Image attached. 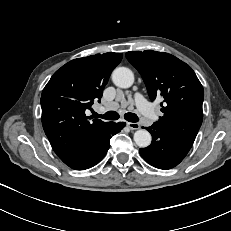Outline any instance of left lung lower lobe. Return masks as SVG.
I'll return each mask as SVG.
<instances>
[{"label": "left lung lower lobe", "mask_w": 231, "mask_h": 231, "mask_svg": "<svg viewBox=\"0 0 231 231\" xmlns=\"http://www.w3.org/2000/svg\"><path fill=\"white\" fill-rule=\"evenodd\" d=\"M146 129L152 135V143L139 151L141 156L156 168L170 169L177 166L192 147L191 143L156 123Z\"/></svg>", "instance_id": "left-lung-lower-lobe-1"}]
</instances>
